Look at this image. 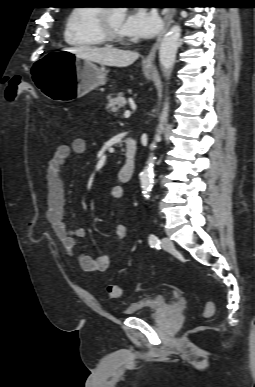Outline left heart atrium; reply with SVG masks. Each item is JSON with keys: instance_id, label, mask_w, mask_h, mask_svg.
Here are the masks:
<instances>
[{"instance_id": "left-heart-atrium-1", "label": "left heart atrium", "mask_w": 255, "mask_h": 387, "mask_svg": "<svg viewBox=\"0 0 255 387\" xmlns=\"http://www.w3.org/2000/svg\"><path fill=\"white\" fill-rule=\"evenodd\" d=\"M162 22L155 11L136 9L125 17L122 31L134 38H151L161 29Z\"/></svg>"}]
</instances>
